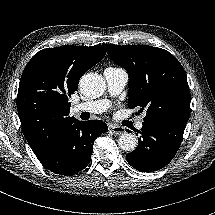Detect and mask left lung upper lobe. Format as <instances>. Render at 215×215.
Masks as SVG:
<instances>
[{
    "instance_id": "obj_1",
    "label": "left lung upper lobe",
    "mask_w": 215,
    "mask_h": 215,
    "mask_svg": "<svg viewBox=\"0 0 215 215\" xmlns=\"http://www.w3.org/2000/svg\"><path fill=\"white\" fill-rule=\"evenodd\" d=\"M108 55L129 76L128 107L145 110L144 122L189 119L190 90L180 62L147 45H111Z\"/></svg>"
}]
</instances>
